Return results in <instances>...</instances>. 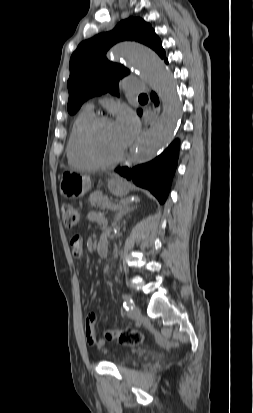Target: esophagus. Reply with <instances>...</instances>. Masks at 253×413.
Wrapping results in <instances>:
<instances>
[{
	"instance_id": "1",
	"label": "esophagus",
	"mask_w": 253,
	"mask_h": 413,
	"mask_svg": "<svg viewBox=\"0 0 253 413\" xmlns=\"http://www.w3.org/2000/svg\"><path fill=\"white\" fill-rule=\"evenodd\" d=\"M159 112H160V108L153 106V116H152V120H151L148 124H146V126H145L142 134H143L145 131H147L148 129H150V128L152 127V125L154 124L156 118H157L158 115H159ZM137 146H138V143L136 142L135 145L133 146V148L131 149L130 156H129V158L125 161L124 165L128 166V165H130V164L133 162V160H134V158H135V148H137Z\"/></svg>"
}]
</instances>
